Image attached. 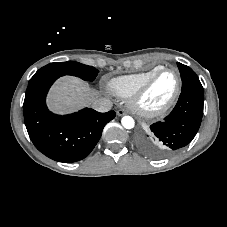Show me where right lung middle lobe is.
Returning <instances> with one entry per match:
<instances>
[{"mask_svg": "<svg viewBox=\"0 0 227 227\" xmlns=\"http://www.w3.org/2000/svg\"><path fill=\"white\" fill-rule=\"evenodd\" d=\"M98 74V70L92 66L84 65L74 61L50 63L39 69L32 78L44 75H73L85 81H93ZM31 78V79H32Z\"/></svg>", "mask_w": 227, "mask_h": 227, "instance_id": "1", "label": "right lung middle lobe"}]
</instances>
